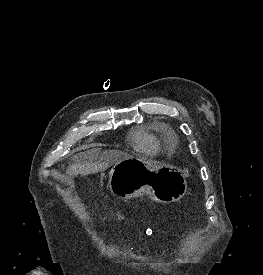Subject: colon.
<instances>
[{
	"mask_svg": "<svg viewBox=\"0 0 263 275\" xmlns=\"http://www.w3.org/2000/svg\"><path fill=\"white\" fill-rule=\"evenodd\" d=\"M116 217L118 219H124V216L122 214H120V213H116Z\"/></svg>",
	"mask_w": 263,
	"mask_h": 275,
	"instance_id": "5ec220e1",
	"label": "colon"
}]
</instances>
